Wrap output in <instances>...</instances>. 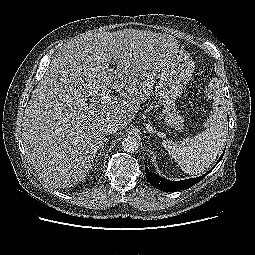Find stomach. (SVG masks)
<instances>
[{
    "label": "stomach",
    "mask_w": 255,
    "mask_h": 255,
    "mask_svg": "<svg viewBox=\"0 0 255 255\" xmlns=\"http://www.w3.org/2000/svg\"><path fill=\"white\" fill-rule=\"evenodd\" d=\"M193 70L194 62L190 54L185 50H178L158 75L159 97L166 115L165 123L177 130L183 129L184 118L179 114L176 101Z\"/></svg>",
    "instance_id": "0dacf381"
}]
</instances>
